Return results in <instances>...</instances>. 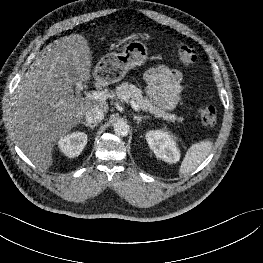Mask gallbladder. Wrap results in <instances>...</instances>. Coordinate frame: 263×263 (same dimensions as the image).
Segmentation results:
<instances>
[{
    "label": "gallbladder",
    "mask_w": 263,
    "mask_h": 263,
    "mask_svg": "<svg viewBox=\"0 0 263 263\" xmlns=\"http://www.w3.org/2000/svg\"><path fill=\"white\" fill-rule=\"evenodd\" d=\"M70 78H71L73 84H77L78 78L75 74H70Z\"/></svg>",
    "instance_id": "bac80fb5"
}]
</instances>
